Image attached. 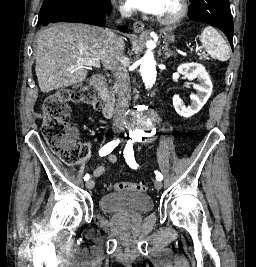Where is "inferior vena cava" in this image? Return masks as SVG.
<instances>
[{
  "mask_svg": "<svg viewBox=\"0 0 256 267\" xmlns=\"http://www.w3.org/2000/svg\"><path fill=\"white\" fill-rule=\"evenodd\" d=\"M119 12L121 18H131L132 10L129 6H120ZM117 24H121L120 20H117ZM108 36L113 44H121L123 42L122 38H117L113 32H108ZM115 50L117 48H112V52H115ZM111 70L114 72V78L118 86V100L114 110L113 126L115 128H123L126 112L130 106L131 90L129 72L121 60V52H115Z\"/></svg>",
  "mask_w": 256,
  "mask_h": 267,
  "instance_id": "inferior-vena-cava-1",
  "label": "inferior vena cava"
}]
</instances>
